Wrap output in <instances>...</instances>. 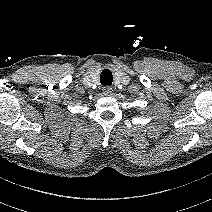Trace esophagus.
I'll return each mask as SVG.
<instances>
[{
  "label": "esophagus",
  "instance_id": "obj_1",
  "mask_svg": "<svg viewBox=\"0 0 212 212\" xmlns=\"http://www.w3.org/2000/svg\"><path fill=\"white\" fill-rule=\"evenodd\" d=\"M102 92H103L104 95H110L111 92H112V88L111 87H104L102 89Z\"/></svg>",
  "mask_w": 212,
  "mask_h": 212
}]
</instances>
